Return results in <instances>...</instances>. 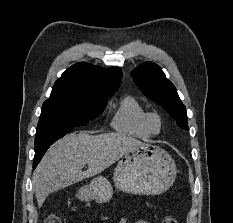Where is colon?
I'll use <instances>...</instances> for the list:
<instances>
[{
  "instance_id": "obj_1",
  "label": "colon",
  "mask_w": 233,
  "mask_h": 223,
  "mask_svg": "<svg viewBox=\"0 0 233 223\" xmlns=\"http://www.w3.org/2000/svg\"><path fill=\"white\" fill-rule=\"evenodd\" d=\"M45 223H61V220L58 215L51 214L45 221ZM162 223H177V220L174 216L166 215L162 219Z\"/></svg>"
}]
</instances>
